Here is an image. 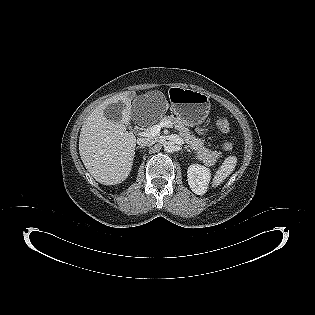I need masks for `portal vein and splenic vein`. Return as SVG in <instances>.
<instances>
[{"label": "portal vein and splenic vein", "mask_w": 315, "mask_h": 315, "mask_svg": "<svg viewBox=\"0 0 315 315\" xmlns=\"http://www.w3.org/2000/svg\"><path fill=\"white\" fill-rule=\"evenodd\" d=\"M172 126L173 125L170 121H161L160 123L152 126L150 129L139 132L138 135L142 137H155L159 135L161 128L163 127L172 128Z\"/></svg>", "instance_id": "obj_1"}]
</instances>
